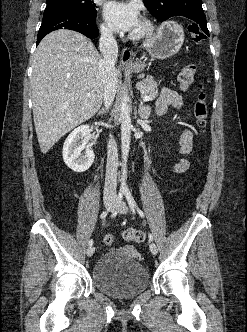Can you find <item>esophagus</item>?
I'll return each mask as SVG.
<instances>
[{
  "instance_id": "esophagus-1",
  "label": "esophagus",
  "mask_w": 247,
  "mask_h": 332,
  "mask_svg": "<svg viewBox=\"0 0 247 332\" xmlns=\"http://www.w3.org/2000/svg\"><path fill=\"white\" fill-rule=\"evenodd\" d=\"M132 56H133L132 50L125 47L122 50V54H121V60H120L121 65L123 67H127V66L132 65Z\"/></svg>"
}]
</instances>
